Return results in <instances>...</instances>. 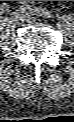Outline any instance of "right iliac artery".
Here are the masks:
<instances>
[{
    "label": "right iliac artery",
    "mask_w": 74,
    "mask_h": 122,
    "mask_svg": "<svg viewBox=\"0 0 74 122\" xmlns=\"http://www.w3.org/2000/svg\"><path fill=\"white\" fill-rule=\"evenodd\" d=\"M1 10L3 12H8L9 11V5L7 3H2Z\"/></svg>",
    "instance_id": "82829eb1"
}]
</instances>
